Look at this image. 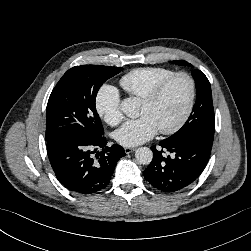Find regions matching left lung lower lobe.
Wrapping results in <instances>:
<instances>
[{
    "label": "left lung lower lobe",
    "mask_w": 251,
    "mask_h": 251,
    "mask_svg": "<svg viewBox=\"0 0 251 251\" xmlns=\"http://www.w3.org/2000/svg\"><path fill=\"white\" fill-rule=\"evenodd\" d=\"M152 146L153 160L144 171L145 179L156 189L173 193L185 189L202 173L210 158L212 144L190 137L173 142L163 140ZM164 151L172 153L165 156Z\"/></svg>",
    "instance_id": "1"
}]
</instances>
